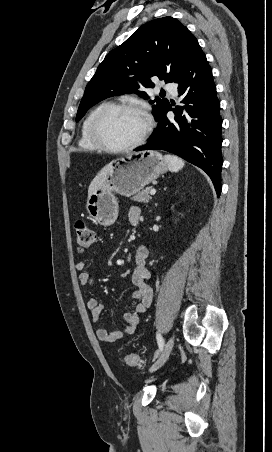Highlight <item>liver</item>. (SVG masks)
Wrapping results in <instances>:
<instances>
[{
  "instance_id": "liver-1",
  "label": "liver",
  "mask_w": 272,
  "mask_h": 452,
  "mask_svg": "<svg viewBox=\"0 0 272 452\" xmlns=\"http://www.w3.org/2000/svg\"><path fill=\"white\" fill-rule=\"evenodd\" d=\"M112 162L108 165H106L104 168L101 169V171L95 176V178L92 180V182L89 185L88 188V198L92 193H94L104 182L110 168H111Z\"/></svg>"
}]
</instances>
